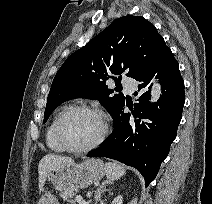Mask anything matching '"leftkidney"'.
I'll list each match as a JSON object with an SVG mask.
<instances>
[{
  "mask_svg": "<svg viewBox=\"0 0 212 204\" xmlns=\"http://www.w3.org/2000/svg\"><path fill=\"white\" fill-rule=\"evenodd\" d=\"M122 202H123V197L119 195L114 198V200L112 201V204H122Z\"/></svg>",
  "mask_w": 212,
  "mask_h": 204,
  "instance_id": "5707ae66",
  "label": "left kidney"
}]
</instances>
